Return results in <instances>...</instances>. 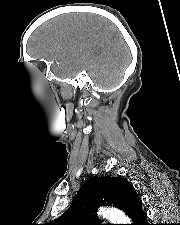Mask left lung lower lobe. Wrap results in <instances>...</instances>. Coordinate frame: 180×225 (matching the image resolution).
<instances>
[{"mask_svg": "<svg viewBox=\"0 0 180 225\" xmlns=\"http://www.w3.org/2000/svg\"><path fill=\"white\" fill-rule=\"evenodd\" d=\"M130 218L133 222L132 225H149L147 223V214L142 209L133 213Z\"/></svg>", "mask_w": 180, "mask_h": 225, "instance_id": "1", "label": "left lung lower lobe"}]
</instances>
